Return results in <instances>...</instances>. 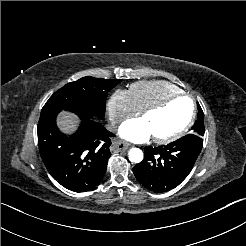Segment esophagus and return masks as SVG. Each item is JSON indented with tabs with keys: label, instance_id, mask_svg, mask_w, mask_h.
I'll use <instances>...</instances> for the list:
<instances>
[{
	"label": "esophagus",
	"instance_id": "esophagus-1",
	"mask_svg": "<svg viewBox=\"0 0 246 246\" xmlns=\"http://www.w3.org/2000/svg\"><path fill=\"white\" fill-rule=\"evenodd\" d=\"M130 148V145L122 141H114L110 147L111 153H119L121 151H126Z\"/></svg>",
	"mask_w": 246,
	"mask_h": 246
}]
</instances>
